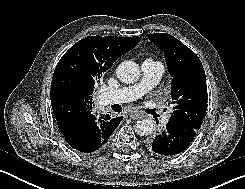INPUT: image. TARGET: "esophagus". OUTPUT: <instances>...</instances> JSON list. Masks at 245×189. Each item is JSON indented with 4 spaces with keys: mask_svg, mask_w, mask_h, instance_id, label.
<instances>
[{
    "mask_svg": "<svg viewBox=\"0 0 245 189\" xmlns=\"http://www.w3.org/2000/svg\"><path fill=\"white\" fill-rule=\"evenodd\" d=\"M129 117L133 120H136L140 118V114L137 111H132L129 113Z\"/></svg>",
    "mask_w": 245,
    "mask_h": 189,
    "instance_id": "1",
    "label": "esophagus"
}]
</instances>
